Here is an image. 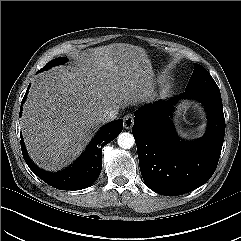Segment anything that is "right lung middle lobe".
<instances>
[{
    "mask_svg": "<svg viewBox=\"0 0 241 241\" xmlns=\"http://www.w3.org/2000/svg\"><path fill=\"white\" fill-rule=\"evenodd\" d=\"M66 61H68V59H67L66 57H60V58L53 59L52 61H50L49 63H47V64L41 69V71L46 70V69H48V68H50L51 66H54V65L63 64V63H65Z\"/></svg>",
    "mask_w": 241,
    "mask_h": 241,
    "instance_id": "right-lung-middle-lobe-1",
    "label": "right lung middle lobe"
}]
</instances>
